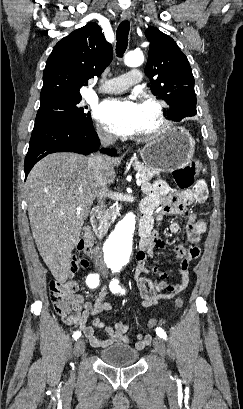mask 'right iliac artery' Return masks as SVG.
<instances>
[{
	"instance_id": "right-iliac-artery-1",
	"label": "right iliac artery",
	"mask_w": 243,
	"mask_h": 409,
	"mask_svg": "<svg viewBox=\"0 0 243 409\" xmlns=\"http://www.w3.org/2000/svg\"><path fill=\"white\" fill-rule=\"evenodd\" d=\"M86 284L90 288H96L99 285V275L98 274H89L86 278ZM81 336L80 331H76L73 334V338L77 340Z\"/></svg>"
}]
</instances>
